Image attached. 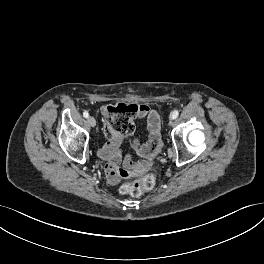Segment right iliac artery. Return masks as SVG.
<instances>
[{
  "label": "right iliac artery",
  "mask_w": 264,
  "mask_h": 264,
  "mask_svg": "<svg viewBox=\"0 0 264 264\" xmlns=\"http://www.w3.org/2000/svg\"><path fill=\"white\" fill-rule=\"evenodd\" d=\"M83 116H84L85 118H88L89 113H88L87 111H84V112H83Z\"/></svg>",
  "instance_id": "1"
}]
</instances>
